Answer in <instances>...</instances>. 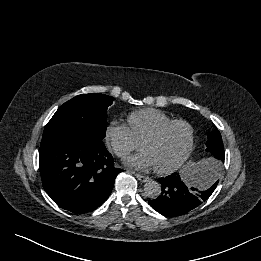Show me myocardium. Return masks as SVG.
I'll return each mask as SVG.
<instances>
[{
    "label": "myocardium",
    "mask_w": 261,
    "mask_h": 261,
    "mask_svg": "<svg viewBox=\"0 0 261 261\" xmlns=\"http://www.w3.org/2000/svg\"><path fill=\"white\" fill-rule=\"evenodd\" d=\"M184 125L187 127L189 131V141L188 146L184 152V154L172 165L164 168H156L154 167V170L159 174H170L177 169H179L191 156L194 145H195V130L192 124L184 119H172L168 122L163 123L160 125L155 131L147 135L142 141H141V148L146 142L155 141L158 140L167 129H169L173 125Z\"/></svg>",
    "instance_id": "f54148a6"
}]
</instances>
